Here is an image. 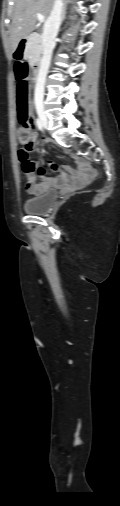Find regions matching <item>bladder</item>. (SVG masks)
<instances>
[{
	"label": "bladder",
	"mask_w": 120,
	"mask_h": 506,
	"mask_svg": "<svg viewBox=\"0 0 120 506\" xmlns=\"http://www.w3.org/2000/svg\"><path fill=\"white\" fill-rule=\"evenodd\" d=\"M57 196L56 191L50 190L40 196L26 198L23 202V208L30 214H45L56 203Z\"/></svg>",
	"instance_id": "bladder-1"
}]
</instances>
